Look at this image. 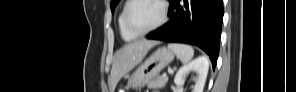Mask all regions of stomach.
<instances>
[{"label": "stomach", "instance_id": "stomach-1", "mask_svg": "<svg viewBox=\"0 0 296 92\" xmlns=\"http://www.w3.org/2000/svg\"><path fill=\"white\" fill-rule=\"evenodd\" d=\"M174 59L172 50L166 47L154 51L130 76L127 89H140L149 81L155 79L159 73Z\"/></svg>", "mask_w": 296, "mask_h": 92}]
</instances>
